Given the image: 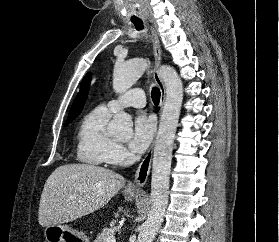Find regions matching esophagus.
<instances>
[{
    "label": "esophagus",
    "instance_id": "34e87169",
    "mask_svg": "<svg viewBox=\"0 0 279 242\" xmlns=\"http://www.w3.org/2000/svg\"><path fill=\"white\" fill-rule=\"evenodd\" d=\"M151 34H152V43H153V50H154V57H155V75L154 79L157 83L160 92H161V99H160V109L162 110L163 104L166 97V90L165 85L160 77L159 73V66L161 63V47H160V41L158 38V35L154 28L151 27ZM152 154H153V145H151L147 155L142 160V162L139 164L136 174L134 177V180L130 182L127 185L126 190L130 192H141L143 186L146 184L150 168H151V162H152Z\"/></svg>",
    "mask_w": 279,
    "mask_h": 242
}]
</instances>
